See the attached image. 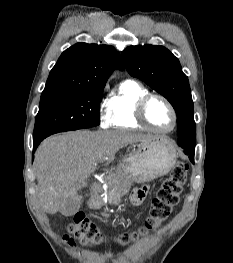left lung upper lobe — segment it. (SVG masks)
Segmentation results:
<instances>
[{
    "mask_svg": "<svg viewBox=\"0 0 233 263\" xmlns=\"http://www.w3.org/2000/svg\"><path fill=\"white\" fill-rule=\"evenodd\" d=\"M127 71L163 95L177 114L178 142L195 146L193 101L188 77L179 60L165 47L137 45L123 50Z\"/></svg>",
    "mask_w": 233,
    "mask_h": 263,
    "instance_id": "5c2ea615",
    "label": "left lung upper lobe"
}]
</instances>
